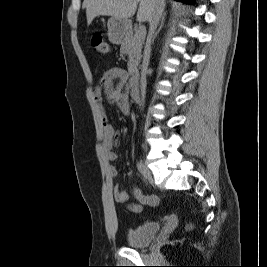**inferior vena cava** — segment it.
<instances>
[{
  "mask_svg": "<svg viewBox=\"0 0 267 267\" xmlns=\"http://www.w3.org/2000/svg\"><path fill=\"white\" fill-rule=\"evenodd\" d=\"M163 9L160 5H158L149 20V32L146 40V45L144 49V57H143V63H142V71H141V104L143 106L144 97H145V89H146V75H147V68L149 64L150 59V53H151V43L152 38L154 36L155 30L158 26L159 20L161 18Z\"/></svg>",
  "mask_w": 267,
  "mask_h": 267,
  "instance_id": "1",
  "label": "inferior vena cava"
}]
</instances>
